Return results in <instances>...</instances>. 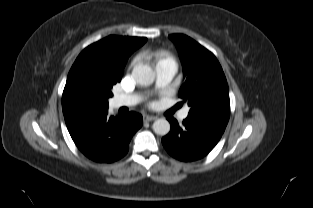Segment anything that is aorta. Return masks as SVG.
I'll return each mask as SVG.
<instances>
[{"mask_svg":"<svg viewBox=\"0 0 313 208\" xmlns=\"http://www.w3.org/2000/svg\"><path fill=\"white\" fill-rule=\"evenodd\" d=\"M132 76L138 84L143 86L151 85L155 80V72L151 66L147 64H138L134 66ZM152 128L157 135L164 136L170 131V123L164 118L157 119L153 123Z\"/></svg>","mask_w":313,"mask_h":208,"instance_id":"762f6f07","label":"aorta"}]
</instances>
